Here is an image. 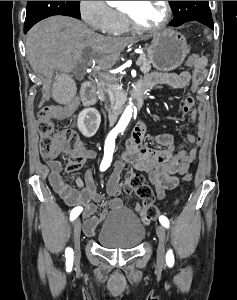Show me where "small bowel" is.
<instances>
[{
  "mask_svg": "<svg viewBox=\"0 0 237 300\" xmlns=\"http://www.w3.org/2000/svg\"><path fill=\"white\" fill-rule=\"evenodd\" d=\"M207 61L194 66L192 73H160L153 72L145 76L138 82L136 89L147 90L158 85H167L174 88L191 86L192 91H196L200 84L207 77ZM79 106L77 98L63 106L51 107V118L61 120L72 115ZM182 113L190 115L192 122L196 123L197 133L187 134L186 142L194 147L187 152L186 149L175 153L176 141L170 134H160L154 138L157 148L146 144V124L140 121L133 130L131 137L127 140V150L124 155L127 165L118 162L115 165L113 174L107 183V194L110 197L108 206L97 214V203L102 199L96 189L94 174L92 169H88L84 178H75L72 182L65 180L62 176V163L51 160L47 163L49 168L48 180L54 191L65 201L68 206L81 207L85 218L84 230L88 235H92L100 223L105 219L109 210H120L123 207V200L120 198V174L131 168L148 172L151 182L155 186L156 196L164 198L165 191L175 188L178 185L177 175L185 174L193 162L197 149L202 144L206 130V112L200 105L194 108V99L190 94L184 98ZM63 153L69 157L82 154L86 158H96L94 150L82 148L74 151L65 148ZM135 210L140 214L144 224H148L151 219L147 218L143 207L139 204Z\"/></svg>",
  "mask_w": 237,
  "mask_h": 300,
  "instance_id": "1",
  "label": "small bowel"
}]
</instances>
